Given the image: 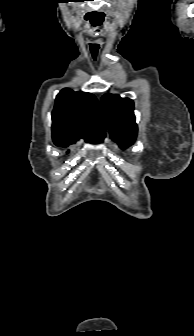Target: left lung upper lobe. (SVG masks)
Returning a JSON list of instances; mask_svg holds the SVG:
<instances>
[{
	"mask_svg": "<svg viewBox=\"0 0 194 336\" xmlns=\"http://www.w3.org/2000/svg\"><path fill=\"white\" fill-rule=\"evenodd\" d=\"M101 105L112 139L123 148L131 145L137 135L133 101L119 95L105 94Z\"/></svg>",
	"mask_w": 194,
	"mask_h": 336,
	"instance_id": "1",
	"label": "left lung upper lobe"
}]
</instances>
